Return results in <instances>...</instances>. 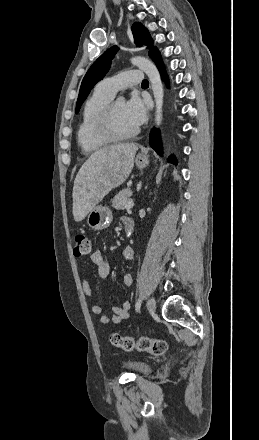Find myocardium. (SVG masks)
Segmentation results:
<instances>
[{
	"label": "myocardium",
	"instance_id": "1",
	"mask_svg": "<svg viewBox=\"0 0 259 440\" xmlns=\"http://www.w3.org/2000/svg\"><path fill=\"white\" fill-rule=\"evenodd\" d=\"M116 101H111L104 108L97 124V133L109 142H120L134 138L139 133V128L128 133H120L114 124V105Z\"/></svg>",
	"mask_w": 259,
	"mask_h": 440
}]
</instances>
